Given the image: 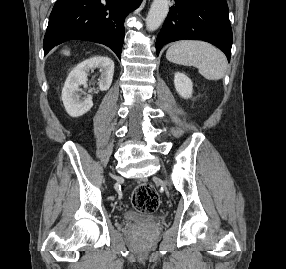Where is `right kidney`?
<instances>
[{
    "label": "right kidney",
    "mask_w": 286,
    "mask_h": 269,
    "mask_svg": "<svg viewBox=\"0 0 286 269\" xmlns=\"http://www.w3.org/2000/svg\"><path fill=\"white\" fill-rule=\"evenodd\" d=\"M99 69V90L110 88L114 73V62L108 57H92L78 64L68 75L62 89V101L66 112L72 117H78L88 112L92 106V96L81 98L79 87H87V76L91 70ZM92 92V89L89 90Z\"/></svg>",
    "instance_id": "obj_1"
}]
</instances>
